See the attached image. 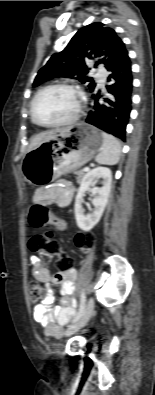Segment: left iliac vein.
Returning <instances> with one entry per match:
<instances>
[{"label":"left iliac vein","instance_id":"1","mask_svg":"<svg viewBox=\"0 0 155 395\" xmlns=\"http://www.w3.org/2000/svg\"><path fill=\"white\" fill-rule=\"evenodd\" d=\"M93 310H94V299L91 297L86 304L82 316L77 321H75L72 325H70L69 328L67 329L66 336H70L76 333L82 327H84L89 321V319L91 318Z\"/></svg>","mask_w":155,"mask_h":395}]
</instances>
